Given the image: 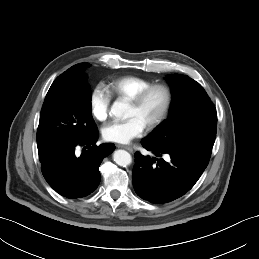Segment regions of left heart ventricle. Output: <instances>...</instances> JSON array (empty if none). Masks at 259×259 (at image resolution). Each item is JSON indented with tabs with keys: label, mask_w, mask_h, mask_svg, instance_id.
<instances>
[{
	"label": "left heart ventricle",
	"mask_w": 259,
	"mask_h": 259,
	"mask_svg": "<svg viewBox=\"0 0 259 259\" xmlns=\"http://www.w3.org/2000/svg\"><path fill=\"white\" fill-rule=\"evenodd\" d=\"M163 102V93L159 90L153 91L140 106L129 104L127 118L136 117L147 126L159 114Z\"/></svg>",
	"instance_id": "left-heart-ventricle-1"
}]
</instances>
